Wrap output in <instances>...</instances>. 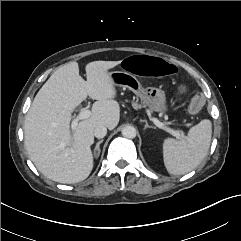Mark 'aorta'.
Returning <instances> with one entry per match:
<instances>
[{"label":"aorta","instance_id":"1","mask_svg":"<svg viewBox=\"0 0 241 241\" xmlns=\"http://www.w3.org/2000/svg\"><path fill=\"white\" fill-rule=\"evenodd\" d=\"M136 134H137L136 129L133 126L128 125L122 129V135L125 138L133 139L136 137Z\"/></svg>","mask_w":241,"mask_h":241}]
</instances>
